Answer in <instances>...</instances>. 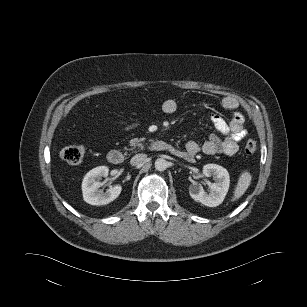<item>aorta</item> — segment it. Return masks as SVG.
<instances>
[{"label": "aorta", "mask_w": 307, "mask_h": 307, "mask_svg": "<svg viewBox=\"0 0 307 307\" xmlns=\"http://www.w3.org/2000/svg\"><path fill=\"white\" fill-rule=\"evenodd\" d=\"M168 168V162L163 158H158L155 161V169L157 171H164Z\"/></svg>", "instance_id": "obj_1"}]
</instances>
